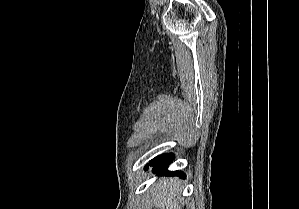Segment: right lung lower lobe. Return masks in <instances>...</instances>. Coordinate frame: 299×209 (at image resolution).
I'll return each instance as SVG.
<instances>
[{
  "label": "right lung lower lobe",
  "instance_id": "right-lung-lower-lobe-1",
  "mask_svg": "<svg viewBox=\"0 0 299 209\" xmlns=\"http://www.w3.org/2000/svg\"><path fill=\"white\" fill-rule=\"evenodd\" d=\"M173 157L170 154H163L151 160L149 164L146 165L145 169H148V166H153V172L159 173L161 175L167 176H180L185 178V174L181 171H168L167 167L172 162Z\"/></svg>",
  "mask_w": 299,
  "mask_h": 209
}]
</instances>
